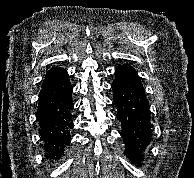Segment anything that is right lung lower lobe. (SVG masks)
Masks as SVG:
<instances>
[{
    "instance_id": "1",
    "label": "right lung lower lobe",
    "mask_w": 194,
    "mask_h": 178,
    "mask_svg": "<svg viewBox=\"0 0 194 178\" xmlns=\"http://www.w3.org/2000/svg\"><path fill=\"white\" fill-rule=\"evenodd\" d=\"M72 86L67 71L44 79L39 94L36 117L39 133L45 142L47 157L58 158L63 148L70 143L69 130L73 124L70 114L73 109Z\"/></svg>"
}]
</instances>
